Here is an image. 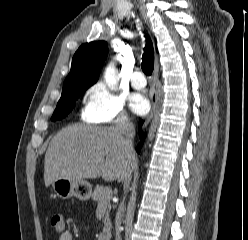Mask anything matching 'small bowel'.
I'll return each mask as SVG.
<instances>
[{"label":"small bowel","mask_w":248,"mask_h":240,"mask_svg":"<svg viewBox=\"0 0 248 240\" xmlns=\"http://www.w3.org/2000/svg\"><path fill=\"white\" fill-rule=\"evenodd\" d=\"M59 240H74L70 231H64L60 234Z\"/></svg>","instance_id":"1"}]
</instances>
